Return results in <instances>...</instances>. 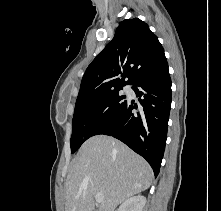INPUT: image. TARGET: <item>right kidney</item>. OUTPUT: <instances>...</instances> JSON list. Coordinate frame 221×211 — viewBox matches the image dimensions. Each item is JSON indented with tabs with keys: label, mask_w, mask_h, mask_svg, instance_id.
I'll use <instances>...</instances> for the list:
<instances>
[{
	"label": "right kidney",
	"mask_w": 221,
	"mask_h": 211,
	"mask_svg": "<svg viewBox=\"0 0 221 211\" xmlns=\"http://www.w3.org/2000/svg\"><path fill=\"white\" fill-rule=\"evenodd\" d=\"M146 198L142 195L133 196L123 202L117 211H143Z\"/></svg>",
	"instance_id": "ca27d5eb"
}]
</instances>
